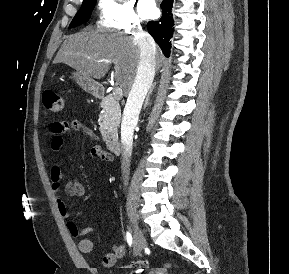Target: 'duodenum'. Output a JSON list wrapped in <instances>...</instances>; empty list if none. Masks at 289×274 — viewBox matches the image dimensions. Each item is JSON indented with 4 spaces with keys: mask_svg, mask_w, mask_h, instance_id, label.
<instances>
[{
    "mask_svg": "<svg viewBox=\"0 0 289 274\" xmlns=\"http://www.w3.org/2000/svg\"><path fill=\"white\" fill-rule=\"evenodd\" d=\"M98 95L99 96H103L104 95V91L102 89L98 90ZM107 146L108 149L115 155L119 154L121 151V146H120V142L117 139H110L107 142Z\"/></svg>",
    "mask_w": 289,
    "mask_h": 274,
    "instance_id": "1",
    "label": "duodenum"
}]
</instances>
